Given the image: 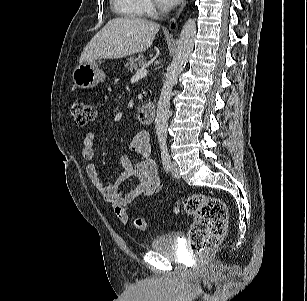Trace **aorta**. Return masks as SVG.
<instances>
[{
	"label": "aorta",
	"instance_id": "aorta-1",
	"mask_svg": "<svg viewBox=\"0 0 307 301\" xmlns=\"http://www.w3.org/2000/svg\"><path fill=\"white\" fill-rule=\"evenodd\" d=\"M196 31L195 19H188L182 27L173 60L167 68L155 119L156 135L161 148L166 147L167 142L168 113L172 90L193 51Z\"/></svg>",
	"mask_w": 307,
	"mask_h": 301
}]
</instances>
